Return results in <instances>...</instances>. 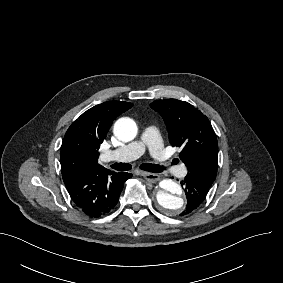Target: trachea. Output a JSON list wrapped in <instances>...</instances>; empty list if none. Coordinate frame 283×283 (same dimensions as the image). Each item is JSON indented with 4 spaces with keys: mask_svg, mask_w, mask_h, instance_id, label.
Wrapping results in <instances>:
<instances>
[{
    "mask_svg": "<svg viewBox=\"0 0 283 283\" xmlns=\"http://www.w3.org/2000/svg\"><path fill=\"white\" fill-rule=\"evenodd\" d=\"M111 168L117 171H127L132 169V165L128 163H114L111 165ZM139 168L148 172H161L164 169V167L152 163H143Z\"/></svg>",
    "mask_w": 283,
    "mask_h": 283,
    "instance_id": "obj_1",
    "label": "trachea"
}]
</instances>
